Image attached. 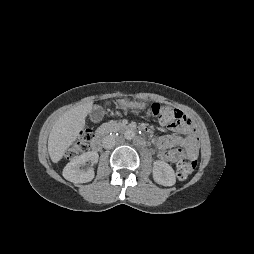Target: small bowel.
Masks as SVG:
<instances>
[{
    "label": "small bowel",
    "mask_w": 254,
    "mask_h": 254,
    "mask_svg": "<svg viewBox=\"0 0 254 254\" xmlns=\"http://www.w3.org/2000/svg\"><path fill=\"white\" fill-rule=\"evenodd\" d=\"M173 130L187 134V136L167 135L161 137L157 143L160 159L167 162H177L184 156L190 159L196 158L198 155V146L196 138L192 135L191 124L182 127H173ZM176 146L181 147V149H172Z\"/></svg>",
    "instance_id": "small-bowel-1"
}]
</instances>
